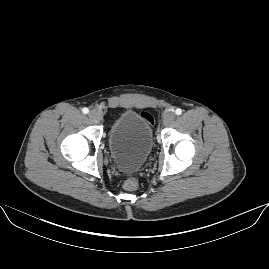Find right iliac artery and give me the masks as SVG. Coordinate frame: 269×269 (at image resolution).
<instances>
[{"label":"right iliac artery","mask_w":269,"mask_h":269,"mask_svg":"<svg viewBox=\"0 0 269 269\" xmlns=\"http://www.w3.org/2000/svg\"><path fill=\"white\" fill-rule=\"evenodd\" d=\"M82 112H83L84 114H87V113L89 112V109H88V108H83V109H82Z\"/></svg>","instance_id":"82829eb1"}]
</instances>
